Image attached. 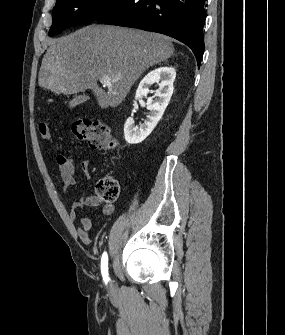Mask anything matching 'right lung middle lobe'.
Listing matches in <instances>:
<instances>
[{
	"mask_svg": "<svg viewBox=\"0 0 285 335\" xmlns=\"http://www.w3.org/2000/svg\"><path fill=\"white\" fill-rule=\"evenodd\" d=\"M120 0H57L52 14L49 36L76 24L94 21Z\"/></svg>",
	"mask_w": 285,
	"mask_h": 335,
	"instance_id": "dd1d6c3e",
	"label": "right lung middle lobe"
}]
</instances>
